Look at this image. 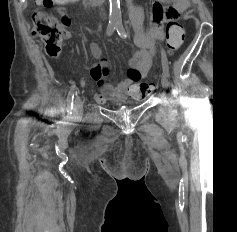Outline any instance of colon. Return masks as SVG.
Instances as JSON below:
<instances>
[{
    "mask_svg": "<svg viewBox=\"0 0 237 232\" xmlns=\"http://www.w3.org/2000/svg\"><path fill=\"white\" fill-rule=\"evenodd\" d=\"M42 7L34 9L32 12V34L41 39L44 44L47 55L57 56L62 47L64 38H66L65 28L70 26V18L65 13L62 21L58 22L55 17L50 15L44 8L53 5H63L65 0H39ZM184 39V29L177 22L172 21L166 28V45L170 54L176 52L182 45ZM150 87L149 85H147Z\"/></svg>",
    "mask_w": 237,
    "mask_h": 232,
    "instance_id": "1",
    "label": "colon"
}]
</instances>
